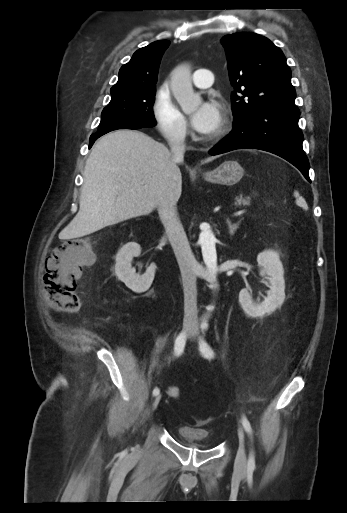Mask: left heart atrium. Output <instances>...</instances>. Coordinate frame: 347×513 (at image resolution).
I'll list each match as a JSON object with an SVG mask.
<instances>
[{
	"instance_id": "1",
	"label": "left heart atrium",
	"mask_w": 347,
	"mask_h": 513,
	"mask_svg": "<svg viewBox=\"0 0 347 513\" xmlns=\"http://www.w3.org/2000/svg\"><path fill=\"white\" fill-rule=\"evenodd\" d=\"M222 110L213 100L204 101L191 117L192 127L199 133L209 135L221 125Z\"/></svg>"
}]
</instances>
